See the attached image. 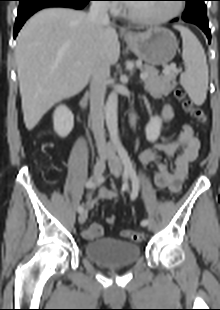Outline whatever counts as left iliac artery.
<instances>
[{"instance_id": "44dca946", "label": "left iliac artery", "mask_w": 220, "mask_h": 310, "mask_svg": "<svg viewBox=\"0 0 220 310\" xmlns=\"http://www.w3.org/2000/svg\"><path fill=\"white\" fill-rule=\"evenodd\" d=\"M118 154L122 160V163L124 165V171L126 175H129L132 181V193H131V199L135 200L138 196V191H139V178L136 174L135 169L133 168L132 162L130 160V157L125 150L124 147H119L118 148ZM148 220L144 219L141 222V225L145 226L147 224Z\"/></svg>"}]
</instances>
